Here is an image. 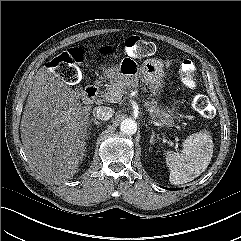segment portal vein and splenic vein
I'll return each mask as SVG.
<instances>
[{"instance_id": "1", "label": "portal vein and splenic vein", "mask_w": 241, "mask_h": 241, "mask_svg": "<svg viewBox=\"0 0 241 241\" xmlns=\"http://www.w3.org/2000/svg\"><path fill=\"white\" fill-rule=\"evenodd\" d=\"M121 99V95L119 92L111 95L110 97H106V100L110 103H116L117 101H119Z\"/></svg>"}]
</instances>
